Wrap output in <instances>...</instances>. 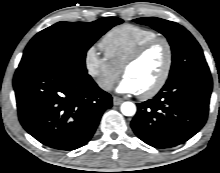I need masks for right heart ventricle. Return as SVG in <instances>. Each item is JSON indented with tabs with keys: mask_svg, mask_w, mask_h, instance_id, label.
Here are the masks:
<instances>
[{
	"mask_svg": "<svg viewBox=\"0 0 220 173\" xmlns=\"http://www.w3.org/2000/svg\"><path fill=\"white\" fill-rule=\"evenodd\" d=\"M152 29L124 24L111 29L100 41L105 57L117 68L122 69L129 56L144 43L158 37Z\"/></svg>",
	"mask_w": 220,
	"mask_h": 173,
	"instance_id": "e07e8e85",
	"label": "right heart ventricle"
}]
</instances>
